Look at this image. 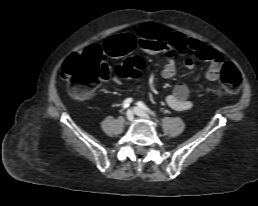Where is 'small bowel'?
I'll return each mask as SVG.
<instances>
[{"label": "small bowel", "instance_id": "small-bowel-1", "mask_svg": "<svg viewBox=\"0 0 258 206\" xmlns=\"http://www.w3.org/2000/svg\"><path fill=\"white\" fill-rule=\"evenodd\" d=\"M156 28H153L155 31L152 35L148 32L151 29L149 27L141 28L137 36L131 33H119L110 37L102 46L93 44L86 49L96 47L102 53L117 58L127 54L138 41L146 53L162 54L164 56L165 64L161 71V75L164 78H171L176 74V55L177 52H180L192 54L184 60V65L187 69L194 68L195 59L208 61L207 78L211 81L219 79L224 59L216 49L205 45L197 39L187 38L181 33H171L164 27H158L161 28V32ZM113 81L116 84L120 83L118 78H114ZM166 104L177 111L191 109L194 103L189 99L188 86L184 83L176 84L172 92L166 97Z\"/></svg>", "mask_w": 258, "mask_h": 206}]
</instances>
